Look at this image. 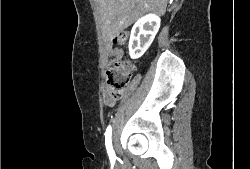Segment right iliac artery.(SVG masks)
Here are the masks:
<instances>
[{
    "label": "right iliac artery",
    "instance_id": "82829eb1",
    "mask_svg": "<svg viewBox=\"0 0 250 169\" xmlns=\"http://www.w3.org/2000/svg\"><path fill=\"white\" fill-rule=\"evenodd\" d=\"M111 136H112V128L111 126H108L105 132V145H106V149H107V153L109 155L110 161L114 162L116 159V155L113 150Z\"/></svg>",
    "mask_w": 250,
    "mask_h": 169
}]
</instances>
